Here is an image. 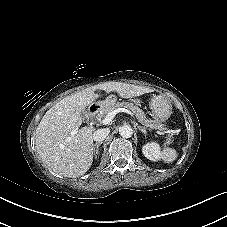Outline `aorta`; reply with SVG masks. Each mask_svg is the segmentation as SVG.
<instances>
[{
	"instance_id": "aorta-1",
	"label": "aorta",
	"mask_w": 227,
	"mask_h": 227,
	"mask_svg": "<svg viewBox=\"0 0 227 227\" xmlns=\"http://www.w3.org/2000/svg\"><path fill=\"white\" fill-rule=\"evenodd\" d=\"M119 134L123 138H130L133 135V130L130 126L124 125V126L120 127Z\"/></svg>"
}]
</instances>
